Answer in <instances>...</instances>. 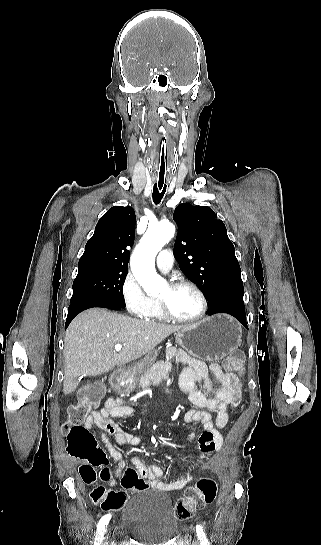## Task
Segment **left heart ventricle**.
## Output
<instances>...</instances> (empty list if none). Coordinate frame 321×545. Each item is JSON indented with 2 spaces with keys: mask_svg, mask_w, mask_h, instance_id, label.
<instances>
[{
  "mask_svg": "<svg viewBox=\"0 0 321 545\" xmlns=\"http://www.w3.org/2000/svg\"><path fill=\"white\" fill-rule=\"evenodd\" d=\"M159 303L183 318L194 317L201 306L199 296L192 289L172 290L169 285L165 287Z\"/></svg>",
  "mask_w": 321,
  "mask_h": 545,
  "instance_id": "b2bd125f",
  "label": "left heart ventricle"
}]
</instances>
